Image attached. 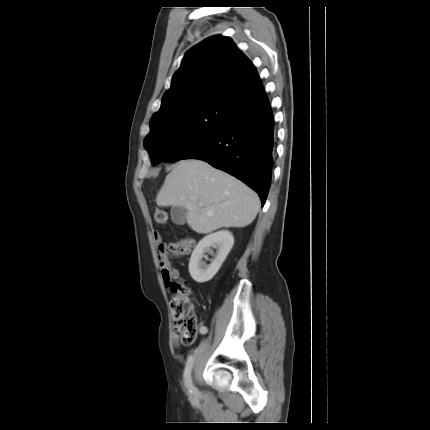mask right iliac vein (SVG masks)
Instances as JSON below:
<instances>
[{
    "label": "right iliac vein",
    "mask_w": 430,
    "mask_h": 430,
    "mask_svg": "<svg viewBox=\"0 0 430 430\" xmlns=\"http://www.w3.org/2000/svg\"><path fill=\"white\" fill-rule=\"evenodd\" d=\"M203 349H204V343L202 342V343L199 345V347L197 348L196 353H195V356H194V360H193L194 367H195V365L197 364V362L199 361V359H200V356H201V354H202ZM196 396H197V390H196V388H195V387H193V388H192V392H191V397H192V398H195Z\"/></svg>",
    "instance_id": "1"
}]
</instances>
